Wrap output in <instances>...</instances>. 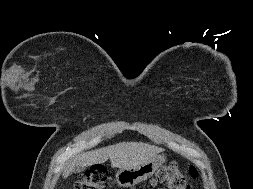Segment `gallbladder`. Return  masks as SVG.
I'll return each instance as SVG.
<instances>
[{
  "label": "gallbladder",
  "mask_w": 253,
  "mask_h": 189,
  "mask_svg": "<svg viewBox=\"0 0 253 189\" xmlns=\"http://www.w3.org/2000/svg\"><path fill=\"white\" fill-rule=\"evenodd\" d=\"M83 169H84V167L76 166V167L74 168V172H75V173H79V172L83 171Z\"/></svg>",
  "instance_id": "gallbladder-1"
}]
</instances>
